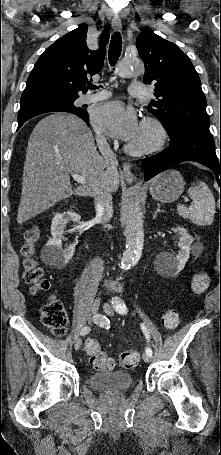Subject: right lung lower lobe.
Listing matches in <instances>:
<instances>
[{"label":"right lung lower lobe","mask_w":221,"mask_h":455,"mask_svg":"<svg viewBox=\"0 0 221 455\" xmlns=\"http://www.w3.org/2000/svg\"><path fill=\"white\" fill-rule=\"evenodd\" d=\"M56 111H62V112H69L67 110H61V109H58V110H53V109H39V110H33V111H30V112H27V113H24L22 115H19L18 116V129L29 119L37 116V115H40V114H43V113H47V112H56ZM71 113V112H69ZM76 115V114H75ZM79 116L81 119H83L87 125H89V116H88V113L85 112V115L84 116H81V115H77Z\"/></svg>","instance_id":"1"}]
</instances>
